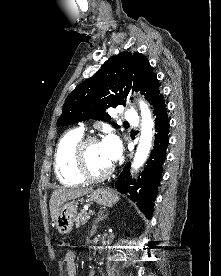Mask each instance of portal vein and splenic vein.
I'll use <instances>...</instances> for the list:
<instances>
[{
	"mask_svg": "<svg viewBox=\"0 0 221 276\" xmlns=\"http://www.w3.org/2000/svg\"><path fill=\"white\" fill-rule=\"evenodd\" d=\"M89 214H90L91 216H93V215L95 214V212H94L93 210H90V211H89Z\"/></svg>",
	"mask_w": 221,
	"mask_h": 276,
	"instance_id": "obj_1",
	"label": "portal vein and splenic vein"
}]
</instances>
